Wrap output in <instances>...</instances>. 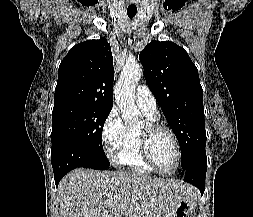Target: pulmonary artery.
Instances as JSON below:
<instances>
[{
    "mask_svg": "<svg viewBox=\"0 0 253 217\" xmlns=\"http://www.w3.org/2000/svg\"><path fill=\"white\" fill-rule=\"evenodd\" d=\"M136 103L139 108L151 117L157 118L159 115L155 97L145 85H140L135 93Z\"/></svg>",
    "mask_w": 253,
    "mask_h": 217,
    "instance_id": "obj_1",
    "label": "pulmonary artery"
}]
</instances>
